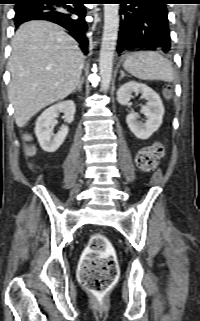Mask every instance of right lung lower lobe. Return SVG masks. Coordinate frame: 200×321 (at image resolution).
I'll return each instance as SVG.
<instances>
[{
	"label": "right lung lower lobe",
	"mask_w": 200,
	"mask_h": 321,
	"mask_svg": "<svg viewBox=\"0 0 200 321\" xmlns=\"http://www.w3.org/2000/svg\"><path fill=\"white\" fill-rule=\"evenodd\" d=\"M84 0H22L16 3L15 27L30 20H47L56 23L69 31L83 51L87 50L86 38L87 23L85 10L82 7ZM73 4L74 7L67 5ZM72 14H77L78 18Z\"/></svg>",
	"instance_id": "1"
}]
</instances>
